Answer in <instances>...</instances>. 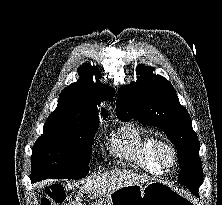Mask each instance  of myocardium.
<instances>
[{
  "label": "myocardium",
  "mask_w": 222,
  "mask_h": 205,
  "mask_svg": "<svg viewBox=\"0 0 222 205\" xmlns=\"http://www.w3.org/2000/svg\"><path fill=\"white\" fill-rule=\"evenodd\" d=\"M165 152H168V157H165ZM153 153L156 161L164 169L174 167L177 162V150L175 146L169 141L156 139L153 143Z\"/></svg>",
  "instance_id": "myocardium-1"
}]
</instances>
